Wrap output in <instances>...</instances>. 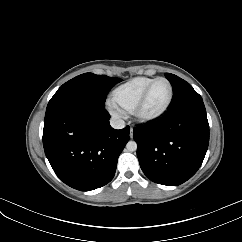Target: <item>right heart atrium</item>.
I'll list each match as a JSON object with an SVG mask.
<instances>
[{"label":"right heart atrium","mask_w":242,"mask_h":242,"mask_svg":"<svg viewBox=\"0 0 242 242\" xmlns=\"http://www.w3.org/2000/svg\"><path fill=\"white\" fill-rule=\"evenodd\" d=\"M111 112H112L113 115H115L116 117H121V116H122V112L119 111L116 107L111 108Z\"/></svg>","instance_id":"1"}]
</instances>
